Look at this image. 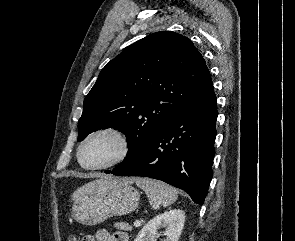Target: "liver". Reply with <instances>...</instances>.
Listing matches in <instances>:
<instances>
[{"label": "liver", "mask_w": 295, "mask_h": 241, "mask_svg": "<svg viewBox=\"0 0 295 241\" xmlns=\"http://www.w3.org/2000/svg\"><path fill=\"white\" fill-rule=\"evenodd\" d=\"M113 179L111 176H104L102 179L100 180H96L93 182H90L84 186H82L81 188L77 189L74 193H73V199H75L79 194H81L82 192H84L85 190H87L90 186L94 185L95 183H102V182H106ZM125 181L129 184H132L135 180L133 178H127L125 179Z\"/></svg>", "instance_id": "6515ba94"}]
</instances>
